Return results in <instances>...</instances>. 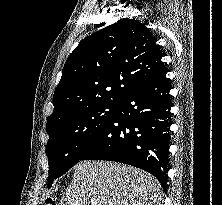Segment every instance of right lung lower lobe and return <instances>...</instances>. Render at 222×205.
I'll list each match as a JSON object with an SVG mask.
<instances>
[{
  "mask_svg": "<svg viewBox=\"0 0 222 205\" xmlns=\"http://www.w3.org/2000/svg\"><path fill=\"white\" fill-rule=\"evenodd\" d=\"M166 73L162 70L127 93L80 160L116 161L141 168L153 174L166 191L172 106Z\"/></svg>",
  "mask_w": 222,
  "mask_h": 205,
  "instance_id": "obj_1",
  "label": "right lung lower lobe"
}]
</instances>
